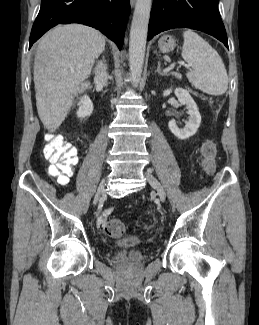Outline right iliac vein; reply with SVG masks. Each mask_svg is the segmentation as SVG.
<instances>
[{
  "mask_svg": "<svg viewBox=\"0 0 259 325\" xmlns=\"http://www.w3.org/2000/svg\"><path fill=\"white\" fill-rule=\"evenodd\" d=\"M103 194V184L100 185L99 189H98V192L95 196V199H94V204H96L100 198V196Z\"/></svg>",
  "mask_w": 259,
  "mask_h": 325,
  "instance_id": "obj_1",
  "label": "right iliac vein"
}]
</instances>
